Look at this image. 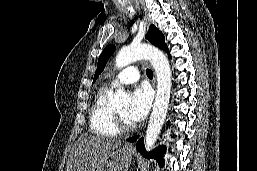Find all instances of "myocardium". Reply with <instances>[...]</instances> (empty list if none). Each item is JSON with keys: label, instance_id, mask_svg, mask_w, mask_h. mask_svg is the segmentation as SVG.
Wrapping results in <instances>:
<instances>
[{"label": "myocardium", "instance_id": "1", "mask_svg": "<svg viewBox=\"0 0 257 171\" xmlns=\"http://www.w3.org/2000/svg\"><path fill=\"white\" fill-rule=\"evenodd\" d=\"M114 110L115 123L119 131H130L135 128L133 122L127 121L116 109Z\"/></svg>", "mask_w": 257, "mask_h": 171}]
</instances>
